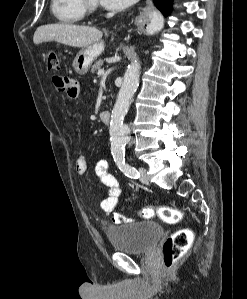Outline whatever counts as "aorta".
Wrapping results in <instances>:
<instances>
[{
	"label": "aorta",
	"mask_w": 247,
	"mask_h": 299,
	"mask_svg": "<svg viewBox=\"0 0 247 299\" xmlns=\"http://www.w3.org/2000/svg\"><path fill=\"white\" fill-rule=\"evenodd\" d=\"M140 62L135 60L127 68L116 103L111 112L109 126L111 152L114 156L124 154L125 145L130 140L129 127L124 123L131 100L139 85Z\"/></svg>",
	"instance_id": "1"
}]
</instances>
